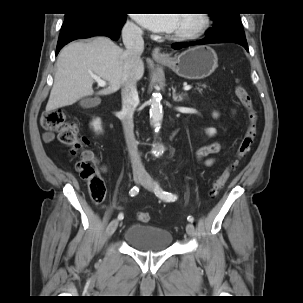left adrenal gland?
Wrapping results in <instances>:
<instances>
[{
    "label": "left adrenal gland",
    "mask_w": 303,
    "mask_h": 303,
    "mask_svg": "<svg viewBox=\"0 0 303 303\" xmlns=\"http://www.w3.org/2000/svg\"><path fill=\"white\" fill-rule=\"evenodd\" d=\"M187 97V93H182L177 95L176 94V89H173V100L176 102H181Z\"/></svg>",
    "instance_id": "1"
}]
</instances>
